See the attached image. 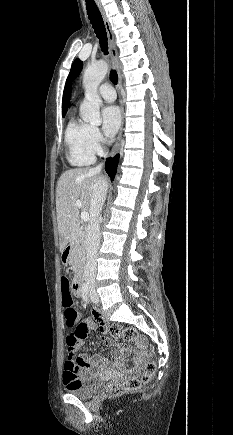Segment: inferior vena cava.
Wrapping results in <instances>:
<instances>
[{
    "label": "inferior vena cava",
    "instance_id": "inferior-vena-cava-1",
    "mask_svg": "<svg viewBox=\"0 0 233 435\" xmlns=\"http://www.w3.org/2000/svg\"><path fill=\"white\" fill-rule=\"evenodd\" d=\"M101 168L102 164L93 168V171L99 174L101 172ZM107 188V183L102 178L99 179L94 186L93 194L90 200L89 212L91 215V219L86 230L87 259L86 266L84 268V279L89 284H93L95 282L97 269L96 259L98 248L100 245L99 215L105 202Z\"/></svg>",
    "mask_w": 233,
    "mask_h": 435
}]
</instances>
